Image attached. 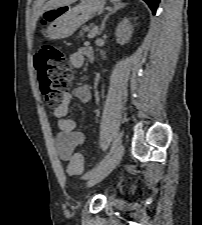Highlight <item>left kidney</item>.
<instances>
[{
	"mask_svg": "<svg viewBox=\"0 0 202 225\" xmlns=\"http://www.w3.org/2000/svg\"><path fill=\"white\" fill-rule=\"evenodd\" d=\"M132 33H133V26L130 23V19L124 18L116 28L115 35L117 37V43L121 45L128 43L132 36Z\"/></svg>",
	"mask_w": 202,
	"mask_h": 225,
	"instance_id": "obj_1",
	"label": "left kidney"
}]
</instances>
